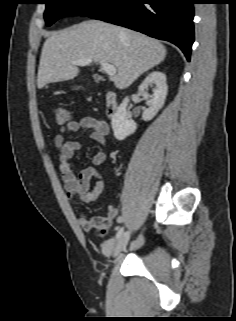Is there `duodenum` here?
Wrapping results in <instances>:
<instances>
[{"instance_id": "duodenum-1", "label": "duodenum", "mask_w": 236, "mask_h": 321, "mask_svg": "<svg viewBox=\"0 0 236 321\" xmlns=\"http://www.w3.org/2000/svg\"><path fill=\"white\" fill-rule=\"evenodd\" d=\"M105 106L109 117L115 116L118 110L117 95L114 91L107 89L105 92Z\"/></svg>"}]
</instances>
